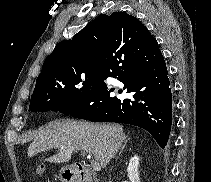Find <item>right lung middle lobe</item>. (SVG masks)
I'll return each instance as SVG.
<instances>
[{"label":"right lung middle lobe","mask_w":211,"mask_h":182,"mask_svg":"<svg viewBox=\"0 0 211 182\" xmlns=\"http://www.w3.org/2000/svg\"><path fill=\"white\" fill-rule=\"evenodd\" d=\"M99 76V68H93L35 87L29 108L31 111L52 110L67 114L90 93Z\"/></svg>","instance_id":"1"}]
</instances>
